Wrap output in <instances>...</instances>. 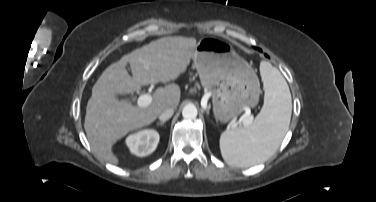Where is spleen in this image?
Segmentation results:
<instances>
[{
    "instance_id": "1",
    "label": "spleen",
    "mask_w": 376,
    "mask_h": 202,
    "mask_svg": "<svg viewBox=\"0 0 376 202\" xmlns=\"http://www.w3.org/2000/svg\"><path fill=\"white\" fill-rule=\"evenodd\" d=\"M264 105L250 126L226 130L220 137L224 160L237 167L266 161L280 146L288 131L292 99L287 82L270 62L260 63Z\"/></svg>"
}]
</instances>
